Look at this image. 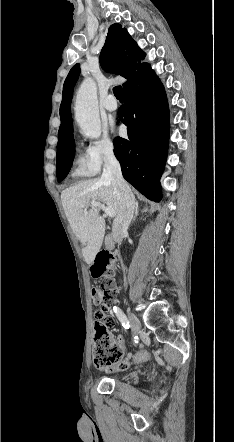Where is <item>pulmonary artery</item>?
Instances as JSON below:
<instances>
[{
	"label": "pulmonary artery",
	"instance_id": "1",
	"mask_svg": "<svg viewBox=\"0 0 234 442\" xmlns=\"http://www.w3.org/2000/svg\"><path fill=\"white\" fill-rule=\"evenodd\" d=\"M103 106L107 111H110V112L116 111L118 108V104H117L113 95H108L106 97V99L104 100Z\"/></svg>",
	"mask_w": 234,
	"mask_h": 442
}]
</instances>
